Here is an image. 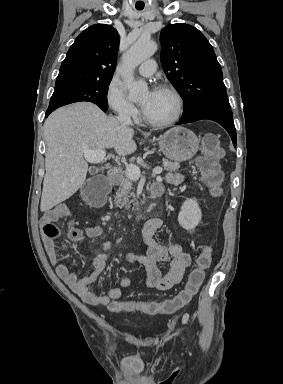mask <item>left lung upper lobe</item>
<instances>
[{
	"label": "left lung upper lobe",
	"mask_w": 283,
	"mask_h": 384,
	"mask_svg": "<svg viewBox=\"0 0 283 384\" xmlns=\"http://www.w3.org/2000/svg\"><path fill=\"white\" fill-rule=\"evenodd\" d=\"M161 63L184 100L180 120L207 111L230 110L223 74L205 36L189 24H171L160 34Z\"/></svg>",
	"instance_id": "5c2ea615"
}]
</instances>
